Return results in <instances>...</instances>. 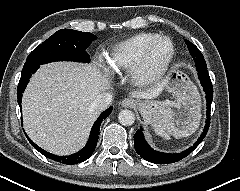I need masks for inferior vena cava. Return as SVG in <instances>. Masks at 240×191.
Returning <instances> with one entry per match:
<instances>
[{
    "label": "inferior vena cava",
    "instance_id": "602c4592",
    "mask_svg": "<svg viewBox=\"0 0 240 191\" xmlns=\"http://www.w3.org/2000/svg\"><path fill=\"white\" fill-rule=\"evenodd\" d=\"M112 101V94L109 92H103L99 94L96 99L92 102V108L103 111L105 110Z\"/></svg>",
    "mask_w": 240,
    "mask_h": 191
}]
</instances>
